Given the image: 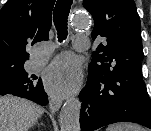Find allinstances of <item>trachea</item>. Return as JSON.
I'll list each match as a JSON object with an SVG mask.
<instances>
[{
  "mask_svg": "<svg viewBox=\"0 0 151 131\" xmlns=\"http://www.w3.org/2000/svg\"><path fill=\"white\" fill-rule=\"evenodd\" d=\"M73 0H57L53 12V21L57 30L59 42L67 38V21Z\"/></svg>",
  "mask_w": 151,
  "mask_h": 131,
  "instance_id": "obj_1",
  "label": "trachea"
}]
</instances>
